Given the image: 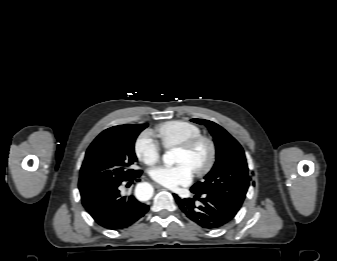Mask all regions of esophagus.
Wrapping results in <instances>:
<instances>
[{
    "label": "esophagus",
    "instance_id": "34e87169",
    "mask_svg": "<svg viewBox=\"0 0 337 261\" xmlns=\"http://www.w3.org/2000/svg\"><path fill=\"white\" fill-rule=\"evenodd\" d=\"M154 186H155V188L160 189V190L164 189L161 185H159L157 183H155Z\"/></svg>",
    "mask_w": 337,
    "mask_h": 261
}]
</instances>
